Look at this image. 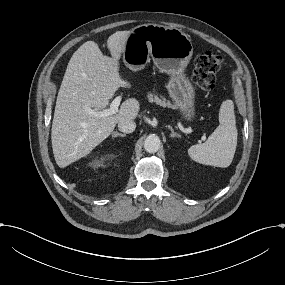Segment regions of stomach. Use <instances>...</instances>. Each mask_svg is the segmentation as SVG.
Wrapping results in <instances>:
<instances>
[{"label":"stomach","mask_w":285,"mask_h":285,"mask_svg":"<svg viewBox=\"0 0 285 285\" xmlns=\"http://www.w3.org/2000/svg\"><path fill=\"white\" fill-rule=\"evenodd\" d=\"M192 55V42L184 32L152 23L134 27L122 51L123 62L130 70L143 69L151 56L157 68L170 75L166 86L169 96L188 121L195 117V89L184 70Z\"/></svg>","instance_id":"1"}]
</instances>
